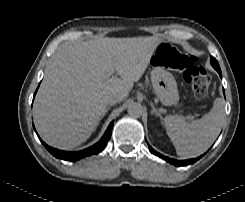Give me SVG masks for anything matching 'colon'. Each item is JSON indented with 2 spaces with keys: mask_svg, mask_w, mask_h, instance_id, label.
I'll list each match as a JSON object with an SVG mask.
<instances>
[{
  "mask_svg": "<svg viewBox=\"0 0 245 202\" xmlns=\"http://www.w3.org/2000/svg\"><path fill=\"white\" fill-rule=\"evenodd\" d=\"M164 59L176 70L182 72L183 78L191 87L196 98H203L209 91L211 78L206 71L197 64V58L185 55L173 43L165 40L161 45Z\"/></svg>",
  "mask_w": 245,
  "mask_h": 202,
  "instance_id": "5ec220e1",
  "label": "colon"
}]
</instances>
